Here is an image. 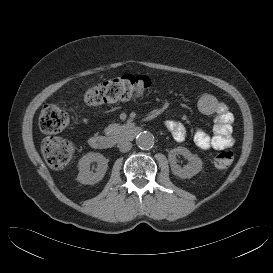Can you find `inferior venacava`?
<instances>
[{
	"label": "inferior vena cava",
	"mask_w": 273,
	"mask_h": 273,
	"mask_svg": "<svg viewBox=\"0 0 273 273\" xmlns=\"http://www.w3.org/2000/svg\"><path fill=\"white\" fill-rule=\"evenodd\" d=\"M118 148L121 152H128L132 148V143L129 141H123L118 144Z\"/></svg>",
	"instance_id": "inferior-vena-cava-1"
}]
</instances>
